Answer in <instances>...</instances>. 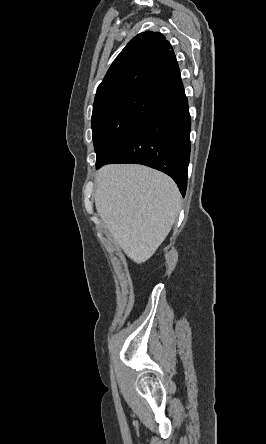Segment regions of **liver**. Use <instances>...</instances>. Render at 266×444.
I'll return each mask as SVG.
<instances>
[{
    "mask_svg": "<svg viewBox=\"0 0 266 444\" xmlns=\"http://www.w3.org/2000/svg\"><path fill=\"white\" fill-rule=\"evenodd\" d=\"M95 206L109 233L137 264L169 234L181 195L167 175L141 165H107L95 178Z\"/></svg>",
    "mask_w": 266,
    "mask_h": 444,
    "instance_id": "1",
    "label": "liver"
}]
</instances>
